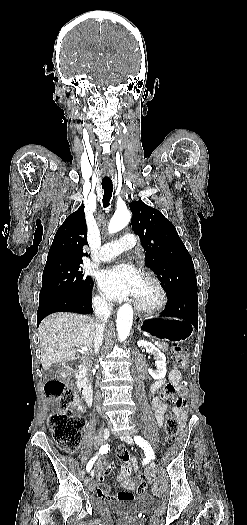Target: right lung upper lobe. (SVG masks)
<instances>
[{"instance_id": "right-lung-upper-lobe-1", "label": "right lung upper lobe", "mask_w": 247, "mask_h": 525, "mask_svg": "<svg viewBox=\"0 0 247 525\" xmlns=\"http://www.w3.org/2000/svg\"><path fill=\"white\" fill-rule=\"evenodd\" d=\"M87 244V226L84 206L69 215L57 230L49 249L44 271L79 266L83 260V246Z\"/></svg>"}]
</instances>
